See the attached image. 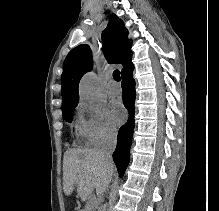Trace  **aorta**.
<instances>
[{"instance_id":"1","label":"aorta","mask_w":219,"mask_h":211,"mask_svg":"<svg viewBox=\"0 0 219 211\" xmlns=\"http://www.w3.org/2000/svg\"><path fill=\"white\" fill-rule=\"evenodd\" d=\"M79 94L81 99L91 106L97 105L101 101L102 93L97 85L94 73L86 74L80 81ZM107 203L100 206L99 211L107 210Z\"/></svg>"}]
</instances>
